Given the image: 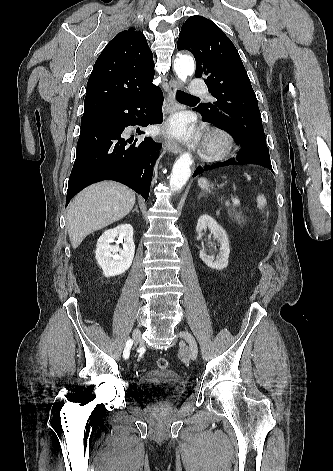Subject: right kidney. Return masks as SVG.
I'll use <instances>...</instances> for the list:
<instances>
[{
  "label": "right kidney",
  "instance_id": "ca27d5eb",
  "mask_svg": "<svg viewBox=\"0 0 333 471\" xmlns=\"http://www.w3.org/2000/svg\"><path fill=\"white\" fill-rule=\"evenodd\" d=\"M116 237L117 242L123 244V249L118 245H111ZM134 254L133 227L130 224L106 230L97 241L95 258L106 277L125 273L132 264Z\"/></svg>",
  "mask_w": 333,
  "mask_h": 471
}]
</instances>
